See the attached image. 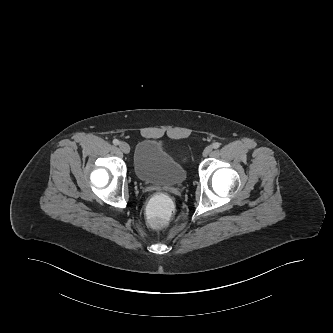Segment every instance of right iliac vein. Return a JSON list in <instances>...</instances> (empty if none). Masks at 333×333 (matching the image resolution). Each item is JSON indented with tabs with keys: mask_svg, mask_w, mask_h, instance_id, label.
I'll list each match as a JSON object with an SVG mask.
<instances>
[{
	"mask_svg": "<svg viewBox=\"0 0 333 333\" xmlns=\"http://www.w3.org/2000/svg\"><path fill=\"white\" fill-rule=\"evenodd\" d=\"M119 148L125 154H128L130 152V146L125 142H121L119 144Z\"/></svg>",
	"mask_w": 333,
	"mask_h": 333,
	"instance_id": "right-iliac-vein-1",
	"label": "right iliac vein"
}]
</instances>
